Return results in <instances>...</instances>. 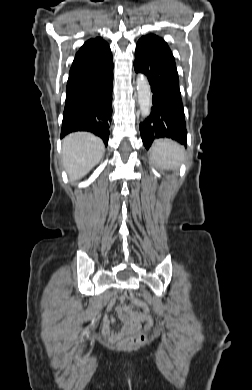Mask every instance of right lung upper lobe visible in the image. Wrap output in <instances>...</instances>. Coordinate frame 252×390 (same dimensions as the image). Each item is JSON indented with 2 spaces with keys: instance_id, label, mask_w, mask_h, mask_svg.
Returning <instances> with one entry per match:
<instances>
[{
  "instance_id": "right-lung-upper-lobe-1",
  "label": "right lung upper lobe",
  "mask_w": 252,
  "mask_h": 390,
  "mask_svg": "<svg viewBox=\"0 0 252 390\" xmlns=\"http://www.w3.org/2000/svg\"><path fill=\"white\" fill-rule=\"evenodd\" d=\"M112 65V54L107 42L100 37L91 38L76 53L67 86L82 79L100 76Z\"/></svg>"
}]
</instances>
